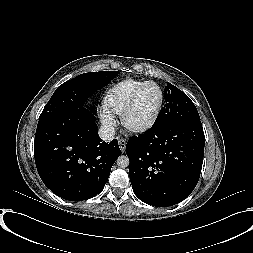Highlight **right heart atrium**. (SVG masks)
Masks as SVG:
<instances>
[{
	"mask_svg": "<svg viewBox=\"0 0 253 253\" xmlns=\"http://www.w3.org/2000/svg\"><path fill=\"white\" fill-rule=\"evenodd\" d=\"M100 120L102 125L109 131L113 130L116 126V118L113 113L109 112L108 110L102 108L100 110Z\"/></svg>",
	"mask_w": 253,
	"mask_h": 253,
	"instance_id": "right-heart-atrium-1",
	"label": "right heart atrium"
}]
</instances>
